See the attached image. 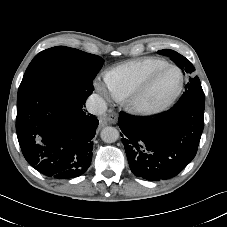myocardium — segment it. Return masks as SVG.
Here are the masks:
<instances>
[{
	"mask_svg": "<svg viewBox=\"0 0 227 227\" xmlns=\"http://www.w3.org/2000/svg\"><path fill=\"white\" fill-rule=\"evenodd\" d=\"M174 69L179 74V82L174 92L165 100L154 105H146L142 102L149 92L155 80L166 70ZM184 84V76L181 69L173 64H167L150 74L134 91L126 97V106L130 112L140 116H153L162 113L170 107L180 95Z\"/></svg>",
	"mask_w": 227,
	"mask_h": 227,
	"instance_id": "f54148a6",
	"label": "myocardium"
}]
</instances>
